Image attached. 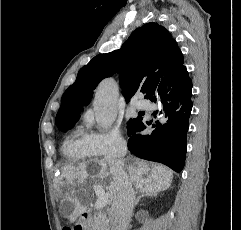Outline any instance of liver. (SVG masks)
<instances>
[{
	"label": "liver",
	"mask_w": 241,
	"mask_h": 230,
	"mask_svg": "<svg viewBox=\"0 0 241 230\" xmlns=\"http://www.w3.org/2000/svg\"><path fill=\"white\" fill-rule=\"evenodd\" d=\"M94 162L95 170L93 174L88 172V167L85 163L79 164L77 167L68 166L62 169L67 184L73 186L70 193L65 196L68 205H72V221L86 211V206L82 205L80 201V194L91 189L87 179H90L91 183L93 182L92 188L95 191L97 188L102 189L108 195V201H113L114 182L111 171L108 168L109 164L105 159H97ZM126 169L134 187L141 193L150 195H157L159 192L169 189L173 178L172 171L165 166H150L148 163L136 158L130 159ZM75 180L76 183L74 182ZM79 184L81 185L80 187Z\"/></svg>",
	"instance_id": "6515ba94"
}]
</instances>
